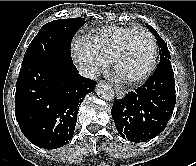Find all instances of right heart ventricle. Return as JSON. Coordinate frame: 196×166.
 Wrapping results in <instances>:
<instances>
[{"label":"right heart ventricle","instance_id":"e07e8e85","mask_svg":"<svg viewBox=\"0 0 196 166\" xmlns=\"http://www.w3.org/2000/svg\"><path fill=\"white\" fill-rule=\"evenodd\" d=\"M134 28L107 26L94 32L87 43L91 49L107 62L113 61L124 38Z\"/></svg>","mask_w":196,"mask_h":166}]
</instances>
